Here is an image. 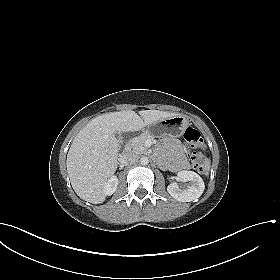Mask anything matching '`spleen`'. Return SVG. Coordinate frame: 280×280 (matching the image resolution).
<instances>
[{
	"instance_id": "obj_1",
	"label": "spleen",
	"mask_w": 280,
	"mask_h": 280,
	"mask_svg": "<svg viewBox=\"0 0 280 280\" xmlns=\"http://www.w3.org/2000/svg\"><path fill=\"white\" fill-rule=\"evenodd\" d=\"M210 168V161L209 160H206L205 161V170L208 171Z\"/></svg>"
}]
</instances>
